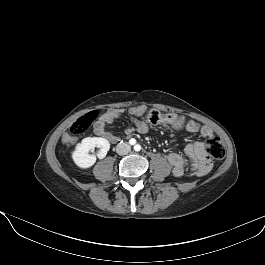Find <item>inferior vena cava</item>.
<instances>
[{"label": "inferior vena cava", "mask_w": 265, "mask_h": 265, "mask_svg": "<svg viewBox=\"0 0 265 265\" xmlns=\"http://www.w3.org/2000/svg\"><path fill=\"white\" fill-rule=\"evenodd\" d=\"M131 146L127 142H121L116 146V152L119 155H126L130 152Z\"/></svg>", "instance_id": "1"}]
</instances>
